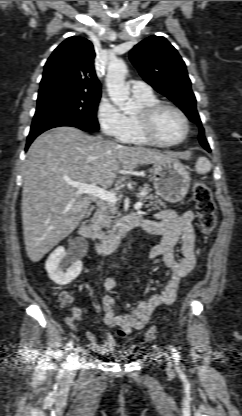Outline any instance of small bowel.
I'll list each match as a JSON object with an SVG mask.
<instances>
[{"label": "small bowel", "mask_w": 242, "mask_h": 416, "mask_svg": "<svg viewBox=\"0 0 242 416\" xmlns=\"http://www.w3.org/2000/svg\"><path fill=\"white\" fill-rule=\"evenodd\" d=\"M195 219L193 211H186L177 215L171 210L158 212L154 219L144 220L143 228L152 234L163 235L162 241L150 251V259L161 261L168 270V280L163 290L153 295L148 300L138 301L130 312L118 314L115 301L108 293L116 287L112 278L103 281V290L107 293L102 299L104 322L110 327L122 328L125 334L132 330H141L149 322L155 310L160 306L171 305L178 293L181 280L187 276L196 264L195 234L192 223ZM181 241V257L175 253V246ZM68 299L71 297L63 292ZM82 309L73 307L72 313L65 319L66 324L77 331L76 322L82 318ZM84 338L89 341V348L97 354L108 355L115 349V339L111 334L106 336L105 342L100 343L99 337L91 332H82Z\"/></svg>", "instance_id": "c3829d8e"}]
</instances>
